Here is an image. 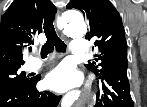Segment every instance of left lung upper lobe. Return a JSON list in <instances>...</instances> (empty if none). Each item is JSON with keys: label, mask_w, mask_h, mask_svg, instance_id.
Returning <instances> with one entry per match:
<instances>
[{"label": "left lung upper lobe", "mask_w": 147, "mask_h": 107, "mask_svg": "<svg viewBox=\"0 0 147 107\" xmlns=\"http://www.w3.org/2000/svg\"><path fill=\"white\" fill-rule=\"evenodd\" d=\"M67 8L78 9L84 14L89 23L85 38L95 39L94 45L101 52L95 62L85 64L87 69L101 76L111 69L128 67L122 19L109 0H71Z\"/></svg>", "instance_id": "1"}]
</instances>
